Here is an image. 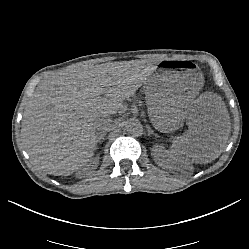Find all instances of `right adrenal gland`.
Segmentation results:
<instances>
[{"label": "right adrenal gland", "instance_id": "1", "mask_svg": "<svg viewBox=\"0 0 249 249\" xmlns=\"http://www.w3.org/2000/svg\"><path fill=\"white\" fill-rule=\"evenodd\" d=\"M105 134L106 133L104 132L97 134V141L101 142L102 140H104Z\"/></svg>", "mask_w": 249, "mask_h": 249}]
</instances>
